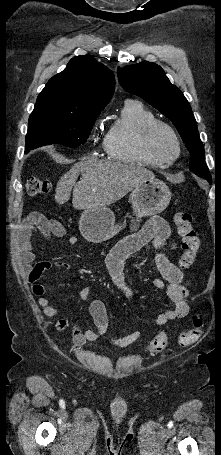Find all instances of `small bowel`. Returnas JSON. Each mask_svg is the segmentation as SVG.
<instances>
[{"label": "small bowel", "instance_id": "small-bowel-1", "mask_svg": "<svg viewBox=\"0 0 221 455\" xmlns=\"http://www.w3.org/2000/svg\"><path fill=\"white\" fill-rule=\"evenodd\" d=\"M40 232L46 237H65L67 231L57 220L48 218L40 213H33L24 221L18 239V253L21 263L29 268L28 281L32 292L38 296V304L46 316H55L59 309L52 304V299L46 296L45 286L39 282L41 275L52 268L50 262L34 261L32 235ZM79 238L76 235H69L67 243L70 246L78 244ZM151 244L153 262L161 278H156L153 285L163 290L168 308L161 312L156 318L157 326L161 327L170 321L181 319L187 316L189 307L187 297L189 295L188 282L181 270L171 262L161 249L168 246L177 250V243L171 238L170 228L162 218L153 217L138 232L126 236L117 243L105 259L106 268L114 284L129 298L132 297L131 289L125 283L124 267L125 261L133 254L139 252L145 245ZM56 267L69 269L70 265L64 261H57ZM91 294L90 287L86 286L80 291L82 299H88ZM89 312L93 318L95 330L83 329L73 319L70 320V327L73 333V340L76 346L81 347L87 341H96L106 334L109 328V320L106 307L100 299H94L89 306ZM141 336V330L112 339L110 342L117 347H127L136 342Z\"/></svg>", "mask_w": 221, "mask_h": 455}]
</instances>
